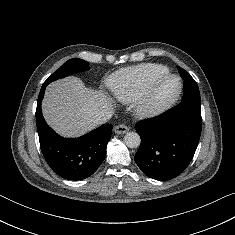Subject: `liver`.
<instances>
[{"mask_svg":"<svg viewBox=\"0 0 235 235\" xmlns=\"http://www.w3.org/2000/svg\"><path fill=\"white\" fill-rule=\"evenodd\" d=\"M103 110H113L112 99L87 88L77 77L49 84L42 102L46 122L63 137H78L94 129Z\"/></svg>","mask_w":235,"mask_h":235,"instance_id":"obj_1","label":"liver"}]
</instances>
